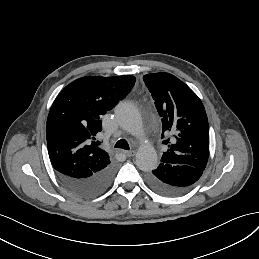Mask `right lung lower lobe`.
<instances>
[{"instance_id": "98d812e1", "label": "right lung lower lobe", "mask_w": 259, "mask_h": 259, "mask_svg": "<svg viewBox=\"0 0 259 259\" xmlns=\"http://www.w3.org/2000/svg\"><path fill=\"white\" fill-rule=\"evenodd\" d=\"M61 183L73 194L94 197L105 192L111 185L115 167L109 164L105 169L87 178H74L56 171Z\"/></svg>"}]
</instances>
